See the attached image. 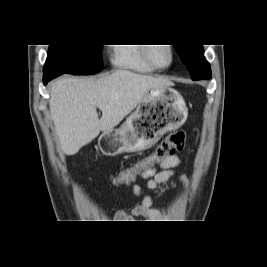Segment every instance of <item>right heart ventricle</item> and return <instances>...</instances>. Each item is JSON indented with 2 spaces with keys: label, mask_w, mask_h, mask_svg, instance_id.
<instances>
[{
  "label": "right heart ventricle",
  "mask_w": 267,
  "mask_h": 267,
  "mask_svg": "<svg viewBox=\"0 0 267 267\" xmlns=\"http://www.w3.org/2000/svg\"><path fill=\"white\" fill-rule=\"evenodd\" d=\"M144 44H115L110 61L117 69H129L140 73H152L156 69L145 58Z\"/></svg>",
  "instance_id": "right-heart-ventricle-1"
}]
</instances>
